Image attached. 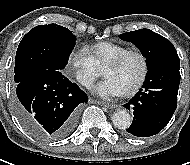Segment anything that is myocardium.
I'll list each match as a JSON object with an SVG mask.
<instances>
[{
    "label": "myocardium",
    "mask_w": 190,
    "mask_h": 165,
    "mask_svg": "<svg viewBox=\"0 0 190 165\" xmlns=\"http://www.w3.org/2000/svg\"><path fill=\"white\" fill-rule=\"evenodd\" d=\"M130 56H137L141 60L142 72L138 81L131 88L123 92L124 95H132L136 93L144 85L149 73V62L146 55L139 50H127L115 57L114 59H112L111 61H109L104 67V69L116 68L120 66Z\"/></svg>",
    "instance_id": "1"
}]
</instances>
